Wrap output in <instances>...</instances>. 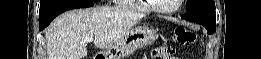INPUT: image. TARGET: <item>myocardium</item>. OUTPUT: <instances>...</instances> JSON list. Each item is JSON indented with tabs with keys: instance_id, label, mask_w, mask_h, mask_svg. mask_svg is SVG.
<instances>
[{
	"instance_id": "f54148a6",
	"label": "myocardium",
	"mask_w": 261,
	"mask_h": 59,
	"mask_svg": "<svg viewBox=\"0 0 261 59\" xmlns=\"http://www.w3.org/2000/svg\"><path fill=\"white\" fill-rule=\"evenodd\" d=\"M146 2L148 4V7L151 10H153L154 12L161 13V14H170V13H174V12L178 11L181 8L184 0H178L177 5L173 8H170V9L161 8V7L156 6L155 3L152 0H148Z\"/></svg>"
}]
</instances>
